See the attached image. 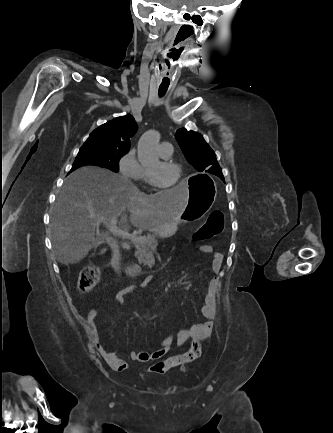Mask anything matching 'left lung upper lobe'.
I'll return each mask as SVG.
<instances>
[{"label":"left lung upper lobe","instance_id":"obj_1","mask_svg":"<svg viewBox=\"0 0 333 433\" xmlns=\"http://www.w3.org/2000/svg\"><path fill=\"white\" fill-rule=\"evenodd\" d=\"M175 138L179 143L186 159L200 172H209L223 176L217 163L215 153L205 142L203 136L185 128L177 130Z\"/></svg>","mask_w":333,"mask_h":433}]
</instances>
